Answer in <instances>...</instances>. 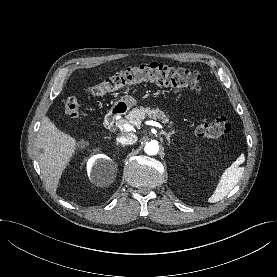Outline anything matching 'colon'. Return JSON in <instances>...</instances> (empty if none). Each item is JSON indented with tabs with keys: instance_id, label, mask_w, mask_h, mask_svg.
<instances>
[{
	"instance_id": "colon-1",
	"label": "colon",
	"mask_w": 277,
	"mask_h": 277,
	"mask_svg": "<svg viewBox=\"0 0 277 277\" xmlns=\"http://www.w3.org/2000/svg\"><path fill=\"white\" fill-rule=\"evenodd\" d=\"M141 82H153L162 86L189 88L195 91L201 90V77L197 72L153 63L117 73L99 84L90 86L88 92L93 96H100ZM79 110L78 99L69 96L64 105L65 114L70 118H76ZM230 129L229 119L226 116H219L212 121H201L197 125L196 133L201 137L217 138L228 133Z\"/></svg>"
}]
</instances>
